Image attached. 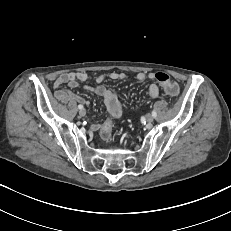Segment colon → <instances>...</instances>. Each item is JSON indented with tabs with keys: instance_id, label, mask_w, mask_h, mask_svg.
Listing matches in <instances>:
<instances>
[{
	"instance_id": "5ec220e1",
	"label": "colon",
	"mask_w": 231,
	"mask_h": 231,
	"mask_svg": "<svg viewBox=\"0 0 231 231\" xmlns=\"http://www.w3.org/2000/svg\"><path fill=\"white\" fill-rule=\"evenodd\" d=\"M155 80L163 86L165 92L168 95H171V96L178 95L179 86L175 82H172L170 80V77L168 74L163 73V72H157L155 73ZM111 130H112V124L104 125L103 128L101 129L102 138L105 140L109 139L111 136Z\"/></svg>"
}]
</instances>
